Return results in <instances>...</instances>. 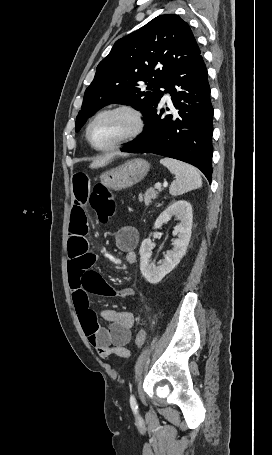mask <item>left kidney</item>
Instances as JSON below:
<instances>
[{
	"instance_id": "1",
	"label": "left kidney",
	"mask_w": 272,
	"mask_h": 455,
	"mask_svg": "<svg viewBox=\"0 0 272 455\" xmlns=\"http://www.w3.org/2000/svg\"><path fill=\"white\" fill-rule=\"evenodd\" d=\"M172 216L181 221L173 231V235H177L178 239L173 241V250L164 256L160 265L156 267L150 262L154 246L150 237L143 240L139 250L141 273L151 284H157L175 268L184 256L190 241L193 218L191 204L184 200L171 204L156 219L154 227L161 228L162 224L168 222Z\"/></svg>"
}]
</instances>
